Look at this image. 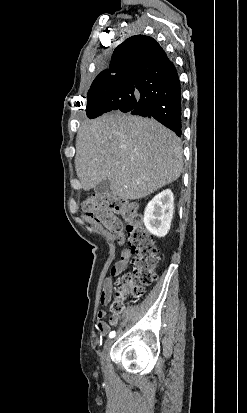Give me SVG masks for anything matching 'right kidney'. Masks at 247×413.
Listing matches in <instances>:
<instances>
[{
    "mask_svg": "<svg viewBox=\"0 0 247 413\" xmlns=\"http://www.w3.org/2000/svg\"><path fill=\"white\" fill-rule=\"evenodd\" d=\"M174 196L170 188L162 190L149 200L144 211V225L152 235L165 237L173 219Z\"/></svg>",
    "mask_w": 247,
    "mask_h": 413,
    "instance_id": "obj_1",
    "label": "right kidney"
}]
</instances>
